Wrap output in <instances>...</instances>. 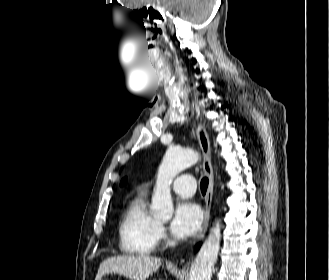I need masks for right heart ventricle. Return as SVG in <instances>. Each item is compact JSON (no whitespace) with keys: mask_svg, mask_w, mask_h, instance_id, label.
I'll list each match as a JSON object with an SVG mask.
<instances>
[{"mask_svg":"<svg viewBox=\"0 0 329 280\" xmlns=\"http://www.w3.org/2000/svg\"><path fill=\"white\" fill-rule=\"evenodd\" d=\"M158 227V221L147 209L145 196L136 197L120 224L121 250L134 255L151 254L158 244Z\"/></svg>","mask_w":329,"mask_h":280,"instance_id":"e07e8e85","label":"right heart ventricle"}]
</instances>
